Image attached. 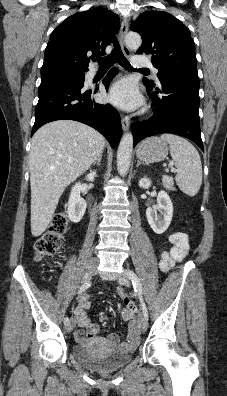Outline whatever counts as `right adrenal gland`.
<instances>
[{"mask_svg": "<svg viewBox=\"0 0 227 396\" xmlns=\"http://www.w3.org/2000/svg\"><path fill=\"white\" fill-rule=\"evenodd\" d=\"M101 159H102V153L94 160V165L97 164L98 166H100Z\"/></svg>", "mask_w": 227, "mask_h": 396, "instance_id": "right-adrenal-gland-1", "label": "right adrenal gland"}]
</instances>
